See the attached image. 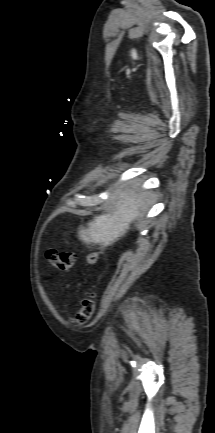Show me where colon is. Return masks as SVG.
Instances as JSON below:
<instances>
[{
  "mask_svg": "<svg viewBox=\"0 0 215 433\" xmlns=\"http://www.w3.org/2000/svg\"><path fill=\"white\" fill-rule=\"evenodd\" d=\"M48 262L55 268L61 271L70 270L76 261L74 252L58 251L56 249H48L46 251ZM98 258V253L94 252L88 256L87 262L94 264ZM96 305V293L93 289H89L81 300L80 308L74 318L75 325H84L90 321L93 316Z\"/></svg>",
  "mask_w": 215,
  "mask_h": 433,
  "instance_id": "1",
  "label": "colon"
}]
</instances>
